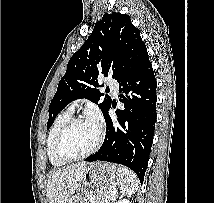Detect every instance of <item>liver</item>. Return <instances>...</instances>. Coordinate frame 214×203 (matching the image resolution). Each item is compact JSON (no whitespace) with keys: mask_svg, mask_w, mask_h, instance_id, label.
Here are the masks:
<instances>
[{"mask_svg":"<svg viewBox=\"0 0 214 203\" xmlns=\"http://www.w3.org/2000/svg\"><path fill=\"white\" fill-rule=\"evenodd\" d=\"M86 166V162H80L65 168L53 169L48 175L47 182L49 203H67L78 190Z\"/></svg>","mask_w":214,"mask_h":203,"instance_id":"liver-1","label":"liver"}]
</instances>
